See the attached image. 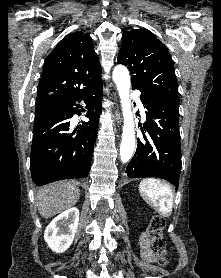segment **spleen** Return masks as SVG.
<instances>
[{"label":"spleen","instance_id":"spleen-1","mask_svg":"<svg viewBox=\"0 0 221 278\" xmlns=\"http://www.w3.org/2000/svg\"><path fill=\"white\" fill-rule=\"evenodd\" d=\"M139 192L160 215L169 217L173 209V194L168 184L148 178L139 184Z\"/></svg>","mask_w":221,"mask_h":278}]
</instances>
